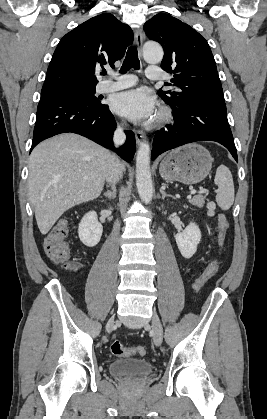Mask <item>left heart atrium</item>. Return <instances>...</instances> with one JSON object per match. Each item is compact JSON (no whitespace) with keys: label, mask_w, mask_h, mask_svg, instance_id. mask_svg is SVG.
Returning a JSON list of instances; mask_svg holds the SVG:
<instances>
[{"label":"left heart atrium","mask_w":267,"mask_h":419,"mask_svg":"<svg viewBox=\"0 0 267 419\" xmlns=\"http://www.w3.org/2000/svg\"><path fill=\"white\" fill-rule=\"evenodd\" d=\"M113 111L134 121H147L155 116L156 100L147 90L137 88L116 94L112 101Z\"/></svg>","instance_id":"obj_1"}]
</instances>
